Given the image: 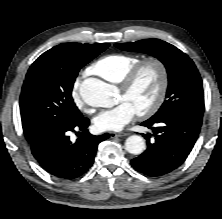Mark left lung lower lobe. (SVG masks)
Instances as JSON below:
<instances>
[{"instance_id": "obj_1", "label": "left lung lower lobe", "mask_w": 222, "mask_h": 219, "mask_svg": "<svg viewBox=\"0 0 222 219\" xmlns=\"http://www.w3.org/2000/svg\"><path fill=\"white\" fill-rule=\"evenodd\" d=\"M202 120L181 113H172L158 119H148L141 125L153 130L144 135L147 149L131 160L132 166L148 176H160L179 167L192 150L201 128Z\"/></svg>"}]
</instances>
